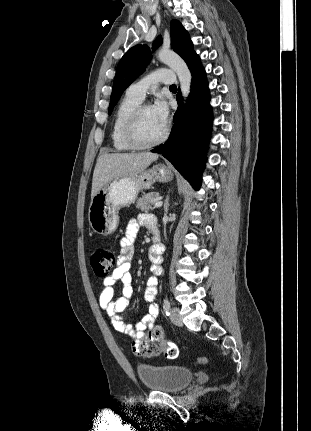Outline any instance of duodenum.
I'll use <instances>...</instances> for the list:
<instances>
[{"mask_svg":"<svg viewBox=\"0 0 311 431\" xmlns=\"http://www.w3.org/2000/svg\"><path fill=\"white\" fill-rule=\"evenodd\" d=\"M153 245H152V252L155 254H158L161 252V242H160V233L158 230H153Z\"/></svg>","mask_w":311,"mask_h":431,"instance_id":"obj_1","label":"duodenum"}]
</instances>
